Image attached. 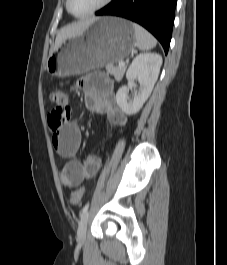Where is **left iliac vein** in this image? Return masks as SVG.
<instances>
[{
	"label": "left iliac vein",
	"instance_id": "1",
	"mask_svg": "<svg viewBox=\"0 0 227 265\" xmlns=\"http://www.w3.org/2000/svg\"><path fill=\"white\" fill-rule=\"evenodd\" d=\"M89 219V213L86 212L79 223L78 231H77V239L79 243H84L86 239V231H87V223Z\"/></svg>",
	"mask_w": 227,
	"mask_h": 265
}]
</instances>
